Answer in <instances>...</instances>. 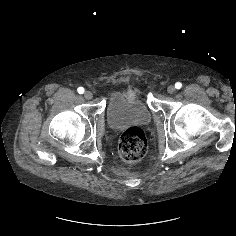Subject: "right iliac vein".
I'll list each match as a JSON object with an SVG mask.
<instances>
[{
	"label": "right iliac vein",
	"instance_id": "right-iliac-vein-1",
	"mask_svg": "<svg viewBox=\"0 0 236 236\" xmlns=\"http://www.w3.org/2000/svg\"><path fill=\"white\" fill-rule=\"evenodd\" d=\"M84 97H85L87 100H90V99L93 98V94H92V92H90V91H86V92L84 93Z\"/></svg>",
	"mask_w": 236,
	"mask_h": 236
}]
</instances>
